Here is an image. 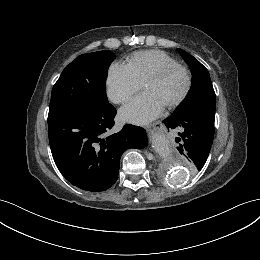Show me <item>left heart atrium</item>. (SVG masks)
Returning <instances> with one entry per match:
<instances>
[{"instance_id": "obj_1", "label": "left heart atrium", "mask_w": 260, "mask_h": 260, "mask_svg": "<svg viewBox=\"0 0 260 260\" xmlns=\"http://www.w3.org/2000/svg\"><path fill=\"white\" fill-rule=\"evenodd\" d=\"M163 106L150 93H144L120 110L123 120L132 123H146L157 117L163 110Z\"/></svg>"}]
</instances>
